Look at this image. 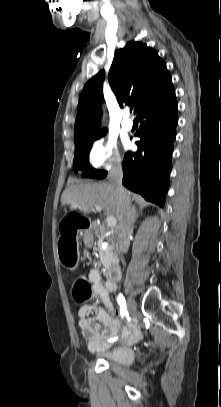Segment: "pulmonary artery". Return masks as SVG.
Wrapping results in <instances>:
<instances>
[{"instance_id": "1", "label": "pulmonary artery", "mask_w": 221, "mask_h": 407, "mask_svg": "<svg viewBox=\"0 0 221 407\" xmlns=\"http://www.w3.org/2000/svg\"><path fill=\"white\" fill-rule=\"evenodd\" d=\"M133 127V122L129 118V111L125 110L123 112L122 128L126 131H130Z\"/></svg>"}]
</instances>
